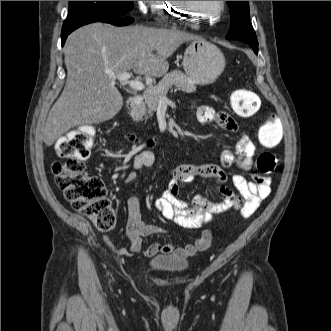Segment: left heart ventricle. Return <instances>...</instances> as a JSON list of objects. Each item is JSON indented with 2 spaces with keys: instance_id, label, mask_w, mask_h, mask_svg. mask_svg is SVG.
<instances>
[{
  "instance_id": "obj_1",
  "label": "left heart ventricle",
  "mask_w": 331,
  "mask_h": 331,
  "mask_svg": "<svg viewBox=\"0 0 331 331\" xmlns=\"http://www.w3.org/2000/svg\"><path fill=\"white\" fill-rule=\"evenodd\" d=\"M192 10L199 15H214L218 10V1H189Z\"/></svg>"
}]
</instances>
